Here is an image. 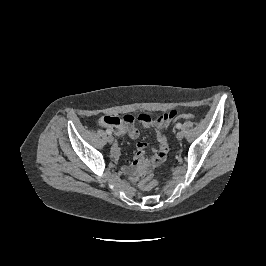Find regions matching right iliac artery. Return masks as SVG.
I'll use <instances>...</instances> for the list:
<instances>
[{"label": "right iliac artery", "instance_id": "1", "mask_svg": "<svg viewBox=\"0 0 266 266\" xmlns=\"http://www.w3.org/2000/svg\"><path fill=\"white\" fill-rule=\"evenodd\" d=\"M106 133L109 134V135H111L112 134V131L110 129H107L106 130Z\"/></svg>", "mask_w": 266, "mask_h": 266}]
</instances>
